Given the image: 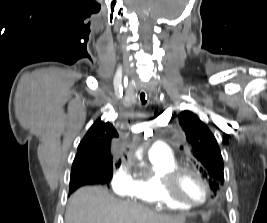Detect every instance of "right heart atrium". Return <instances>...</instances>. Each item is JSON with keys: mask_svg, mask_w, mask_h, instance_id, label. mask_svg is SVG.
Returning a JSON list of instances; mask_svg holds the SVG:
<instances>
[{"mask_svg": "<svg viewBox=\"0 0 267 223\" xmlns=\"http://www.w3.org/2000/svg\"><path fill=\"white\" fill-rule=\"evenodd\" d=\"M132 182L133 178L126 164H121L114 169L110 182L114 193L118 195L127 194L132 187Z\"/></svg>", "mask_w": 267, "mask_h": 223, "instance_id": "right-heart-atrium-1", "label": "right heart atrium"}]
</instances>
